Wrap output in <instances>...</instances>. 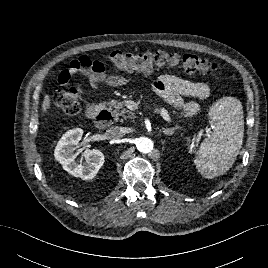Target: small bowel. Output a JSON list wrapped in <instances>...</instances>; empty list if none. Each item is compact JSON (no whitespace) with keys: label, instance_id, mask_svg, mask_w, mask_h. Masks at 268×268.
Instances as JSON below:
<instances>
[{"label":"small bowel","instance_id":"c3829d8e","mask_svg":"<svg viewBox=\"0 0 268 268\" xmlns=\"http://www.w3.org/2000/svg\"><path fill=\"white\" fill-rule=\"evenodd\" d=\"M82 62L86 64L82 65ZM70 67L73 71L80 72L87 78L89 88L93 92L98 90L100 84L121 87L130 82L129 76L122 73H109L101 61L90 57L82 56L73 60ZM153 89L172 107L189 116L197 114L200 106L195 101H185L184 97L207 99L211 94V89L206 83L193 82L167 74L156 79Z\"/></svg>","mask_w":268,"mask_h":268}]
</instances>
